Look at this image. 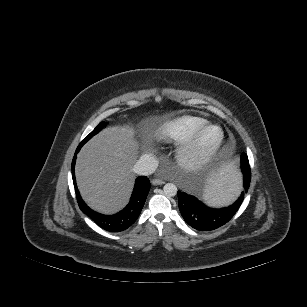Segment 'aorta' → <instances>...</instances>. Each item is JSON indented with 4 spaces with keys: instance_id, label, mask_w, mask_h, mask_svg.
<instances>
[{
    "instance_id": "1",
    "label": "aorta",
    "mask_w": 307,
    "mask_h": 307,
    "mask_svg": "<svg viewBox=\"0 0 307 307\" xmlns=\"http://www.w3.org/2000/svg\"><path fill=\"white\" fill-rule=\"evenodd\" d=\"M164 195L167 197H173L177 194V187L173 183H167L163 187Z\"/></svg>"
}]
</instances>
